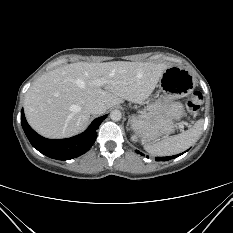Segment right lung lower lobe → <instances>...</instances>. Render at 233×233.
Segmentation results:
<instances>
[{
    "label": "right lung lower lobe",
    "instance_id": "98d812e1",
    "mask_svg": "<svg viewBox=\"0 0 233 233\" xmlns=\"http://www.w3.org/2000/svg\"><path fill=\"white\" fill-rule=\"evenodd\" d=\"M107 115L96 118L90 126L77 136L68 139H47L37 134L27 123L23 110L21 124L30 143L42 154L58 160H69L87 152L96 140L97 129Z\"/></svg>",
    "mask_w": 233,
    "mask_h": 233
}]
</instances>
